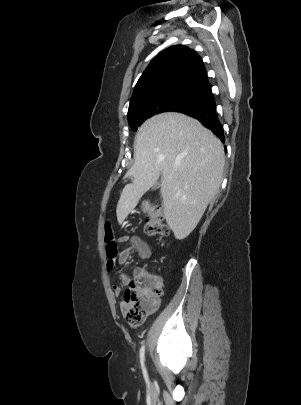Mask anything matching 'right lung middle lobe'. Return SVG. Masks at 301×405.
Segmentation results:
<instances>
[{
  "label": "right lung middle lobe",
  "instance_id": "dd1d6c3e",
  "mask_svg": "<svg viewBox=\"0 0 301 405\" xmlns=\"http://www.w3.org/2000/svg\"><path fill=\"white\" fill-rule=\"evenodd\" d=\"M213 96L192 88H173L145 96L128 111L130 126L137 130L148 118L163 112L199 107L212 103Z\"/></svg>",
  "mask_w": 301,
  "mask_h": 405
}]
</instances>
